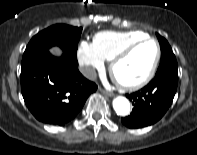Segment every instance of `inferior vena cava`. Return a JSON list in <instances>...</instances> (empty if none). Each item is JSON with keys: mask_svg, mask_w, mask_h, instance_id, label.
I'll return each mask as SVG.
<instances>
[{"mask_svg": "<svg viewBox=\"0 0 197 155\" xmlns=\"http://www.w3.org/2000/svg\"><path fill=\"white\" fill-rule=\"evenodd\" d=\"M80 72L83 76L90 80H95L97 77L96 70L93 67L90 66H82L80 67Z\"/></svg>", "mask_w": 197, "mask_h": 155, "instance_id": "1", "label": "inferior vena cava"}]
</instances>
